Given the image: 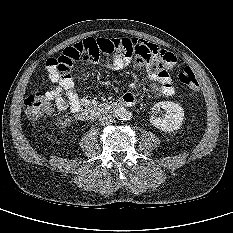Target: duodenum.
<instances>
[{
	"instance_id": "obj_1",
	"label": "duodenum",
	"mask_w": 233,
	"mask_h": 233,
	"mask_svg": "<svg viewBox=\"0 0 233 233\" xmlns=\"http://www.w3.org/2000/svg\"><path fill=\"white\" fill-rule=\"evenodd\" d=\"M134 103L133 98H119L109 102L91 103L82 109L81 114L85 119H92L121 107L133 106Z\"/></svg>"
}]
</instances>
